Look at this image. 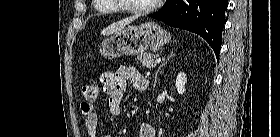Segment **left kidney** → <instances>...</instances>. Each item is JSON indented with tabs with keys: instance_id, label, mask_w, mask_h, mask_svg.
I'll use <instances>...</instances> for the list:
<instances>
[{
	"instance_id": "left-kidney-1",
	"label": "left kidney",
	"mask_w": 280,
	"mask_h": 137,
	"mask_svg": "<svg viewBox=\"0 0 280 137\" xmlns=\"http://www.w3.org/2000/svg\"><path fill=\"white\" fill-rule=\"evenodd\" d=\"M186 81H187L186 74L184 72H180L177 75L176 83H175V86L179 94H183L185 92Z\"/></svg>"
}]
</instances>
